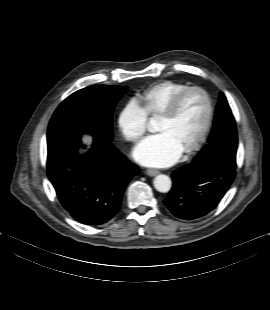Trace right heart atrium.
I'll return each instance as SVG.
<instances>
[{
    "mask_svg": "<svg viewBox=\"0 0 270 310\" xmlns=\"http://www.w3.org/2000/svg\"><path fill=\"white\" fill-rule=\"evenodd\" d=\"M118 125L128 141H137L147 131L148 114L138 101L129 100L120 111Z\"/></svg>",
    "mask_w": 270,
    "mask_h": 310,
    "instance_id": "right-heart-atrium-1",
    "label": "right heart atrium"
}]
</instances>
